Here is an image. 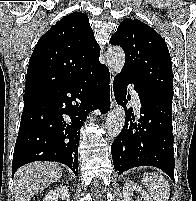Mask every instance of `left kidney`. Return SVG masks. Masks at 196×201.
Listing matches in <instances>:
<instances>
[{"label": "left kidney", "instance_id": "1", "mask_svg": "<svg viewBox=\"0 0 196 201\" xmlns=\"http://www.w3.org/2000/svg\"><path fill=\"white\" fill-rule=\"evenodd\" d=\"M133 192L141 194V197L144 199V201H153L151 197L132 180H127L123 186V201H133L131 200V195Z\"/></svg>", "mask_w": 196, "mask_h": 201}]
</instances>
